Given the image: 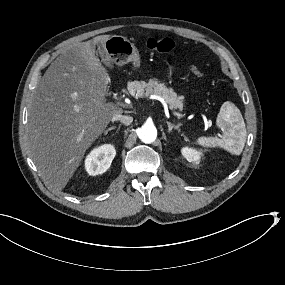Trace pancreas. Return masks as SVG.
<instances>
[{"instance_id":"1","label":"pancreas","mask_w":285,"mask_h":285,"mask_svg":"<svg viewBox=\"0 0 285 285\" xmlns=\"http://www.w3.org/2000/svg\"><path fill=\"white\" fill-rule=\"evenodd\" d=\"M126 88L135 98H143L159 93L172 111L177 109L181 110L183 108V96H178L177 93L170 88H166L164 84L157 79L150 80L148 83L138 80L128 83Z\"/></svg>"}]
</instances>
